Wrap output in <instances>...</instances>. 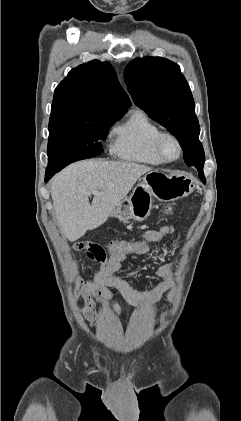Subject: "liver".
<instances>
[{
    "mask_svg": "<svg viewBox=\"0 0 241 421\" xmlns=\"http://www.w3.org/2000/svg\"><path fill=\"white\" fill-rule=\"evenodd\" d=\"M150 171L146 165L124 161L84 160L66 167L51 182L53 207L62 235L76 241L87 230L102 225L136 181ZM91 194L94 198L90 204Z\"/></svg>",
    "mask_w": 241,
    "mask_h": 421,
    "instance_id": "1",
    "label": "liver"
}]
</instances>
